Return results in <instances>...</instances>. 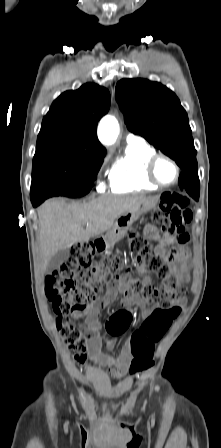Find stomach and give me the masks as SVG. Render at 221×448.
<instances>
[{
  "label": "stomach",
  "instance_id": "obj_1",
  "mask_svg": "<svg viewBox=\"0 0 221 448\" xmlns=\"http://www.w3.org/2000/svg\"><path fill=\"white\" fill-rule=\"evenodd\" d=\"M158 200L152 198L146 203H143L135 210H131L121 215L114 223L113 227L109 229L106 235L103 237L104 241L108 245H114L116 242L121 240L127 230L132 226V224L144 213L154 208Z\"/></svg>",
  "mask_w": 221,
  "mask_h": 448
}]
</instances>
